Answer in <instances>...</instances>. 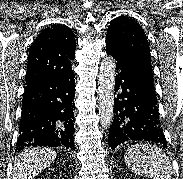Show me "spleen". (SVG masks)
<instances>
[{
	"label": "spleen",
	"instance_id": "spleen-1",
	"mask_svg": "<svg viewBox=\"0 0 183 179\" xmlns=\"http://www.w3.org/2000/svg\"><path fill=\"white\" fill-rule=\"evenodd\" d=\"M124 161L135 174L150 179H172L173 170L169 157L157 146L135 144L126 151Z\"/></svg>",
	"mask_w": 183,
	"mask_h": 179
}]
</instances>
